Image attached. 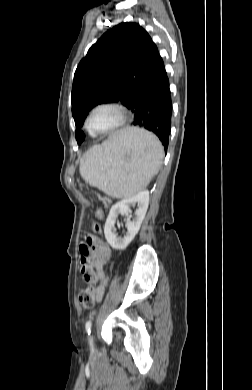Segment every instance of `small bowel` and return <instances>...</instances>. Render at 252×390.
Returning <instances> with one entry per match:
<instances>
[{"instance_id":"obj_1","label":"small bowel","mask_w":252,"mask_h":390,"mask_svg":"<svg viewBox=\"0 0 252 390\" xmlns=\"http://www.w3.org/2000/svg\"><path fill=\"white\" fill-rule=\"evenodd\" d=\"M79 252L81 262L85 259L86 267L91 273L87 280L91 283H97L95 299L99 303L103 299L105 287L108 283L105 266L110 259V248L97 237L88 235L79 245Z\"/></svg>"}]
</instances>
